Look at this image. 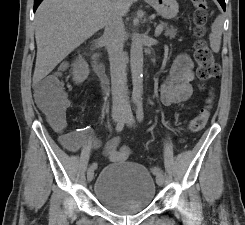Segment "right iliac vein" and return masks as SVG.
<instances>
[{"label":"right iliac vein","instance_id":"right-iliac-vein-1","mask_svg":"<svg viewBox=\"0 0 245 225\" xmlns=\"http://www.w3.org/2000/svg\"><path fill=\"white\" fill-rule=\"evenodd\" d=\"M122 117H123V110H117L112 114V119L115 122H119L122 119ZM93 178H94V169L89 168L87 170V180L91 182Z\"/></svg>","mask_w":245,"mask_h":225}]
</instances>
